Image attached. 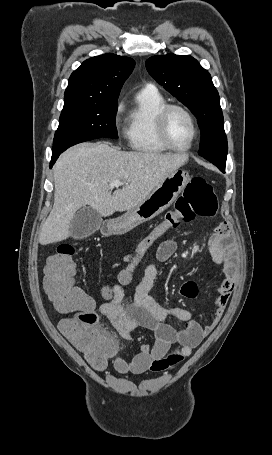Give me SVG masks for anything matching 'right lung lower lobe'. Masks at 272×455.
<instances>
[{
    "label": "right lung lower lobe",
    "mask_w": 272,
    "mask_h": 455,
    "mask_svg": "<svg viewBox=\"0 0 272 455\" xmlns=\"http://www.w3.org/2000/svg\"><path fill=\"white\" fill-rule=\"evenodd\" d=\"M60 153H61V151H56V152L52 153V159H51L50 167H52V165L55 163V161L59 157Z\"/></svg>",
    "instance_id": "right-lung-lower-lobe-1"
}]
</instances>
